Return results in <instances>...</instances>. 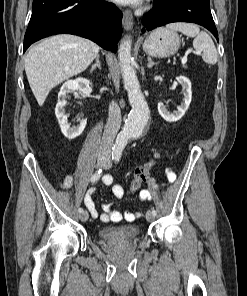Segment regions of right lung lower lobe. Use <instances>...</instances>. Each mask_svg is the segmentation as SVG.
Returning a JSON list of instances; mask_svg holds the SVG:
<instances>
[{"label":"right lung lower lobe","instance_id":"98d812e1","mask_svg":"<svg viewBox=\"0 0 247 296\" xmlns=\"http://www.w3.org/2000/svg\"><path fill=\"white\" fill-rule=\"evenodd\" d=\"M122 12L104 0H34L24 37V51L44 37L69 33L116 52L122 34Z\"/></svg>","mask_w":247,"mask_h":296}]
</instances>
